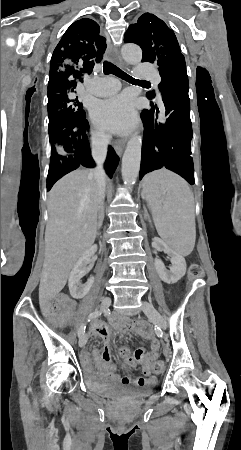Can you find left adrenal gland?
<instances>
[{"instance_id": "a2214340", "label": "left adrenal gland", "mask_w": 241, "mask_h": 450, "mask_svg": "<svg viewBox=\"0 0 241 450\" xmlns=\"http://www.w3.org/2000/svg\"><path fill=\"white\" fill-rule=\"evenodd\" d=\"M144 212H145V214H144L145 218H148V220H149V216L147 214V210H146L145 206H144ZM149 222L151 224V220H149Z\"/></svg>"}]
</instances>
